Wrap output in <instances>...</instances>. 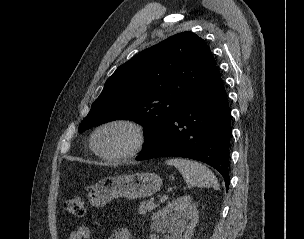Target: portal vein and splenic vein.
I'll return each instance as SVG.
<instances>
[{"label":"portal vein and splenic vein","mask_w":304,"mask_h":239,"mask_svg":"<svg viewBox=\"0 0 304 239\" xmlns=\"http://www.w3.org/2000/svg\"><path fill=\"white\" fill-rule=\"evenodd\" d=\"M163 201V198H160V202H162Z\"/></svg>","instance_id":"1"}]
</instances>
